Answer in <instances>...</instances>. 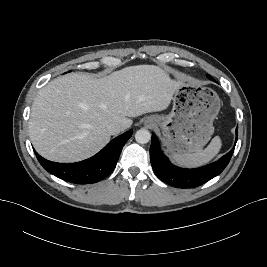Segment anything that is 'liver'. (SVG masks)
Returning <instances> with one entry per match:
<instances>
[{"label": "liver", "instance_id": "liver-1", "mask_svg": "<svg viewBox=\"0 0 267 267\" xmlns=\"http://www.w3.org/2000/svg\"><path fill=\"white\" fill-rule=\"evenodd\" d=\"M181 81L158 66L125 67L97 79L69 74L50 81L34 99L29 135L35 150L55 162L86 159L110 140L107 125L123 130L130 118L166 109Z\"/></svg>", "mask_w": 267, "mask_h": 267}]
</instances>
